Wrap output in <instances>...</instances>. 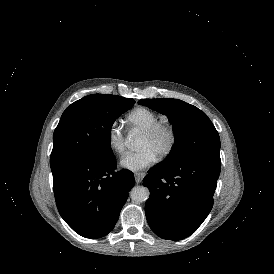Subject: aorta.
Returning a JSON list of instances; mask_svg holds the SVG:
<instances>
[{"mask_svg": "<svg viewBox=\"0 0 274 274\" xmlns=\"http://www.w3.org/2000/svg\"><path fill=\"white\" fill-rule=\"evenodd\" d=\"M135 138L133 136L129 137L127 142L129 147H133L135 145ZM149 190L143 186H135L132 188L130 192L131 199L136 203L145 202L149 198Z\"/></svg>", "mask_w": 274, "mask_h": 274, "instance_id": "762f6f07", "label": "aorta"}]
</instances>
